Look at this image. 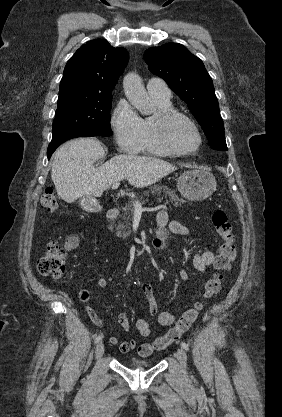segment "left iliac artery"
Returning <instances> with one entry per match:
<instances>
[{"label": "left iliac artery", "mask_w": 282, "mask_h": 417, "mask_svg": "<svg viewBox=\"0 0 282 417\" xmlns=\"http://www.w3.org/2000/svg\"><path fill=\"white\" fill-rule=\"evenodd\" d=\"M181 347H182L183 349H185L186 351H189V346H188V344H186L185 342H181Z\"/></svg>", "instance_id": "left-iliac-artery-1"}]
</instances>
